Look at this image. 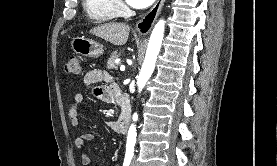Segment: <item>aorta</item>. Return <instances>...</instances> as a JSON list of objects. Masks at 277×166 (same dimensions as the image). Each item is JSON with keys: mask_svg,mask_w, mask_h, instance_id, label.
<instances>
[{"mask_svg": "<svg viewBox=\"0 0 277 166\" xmlns=\"http://www.w3.org/2000/svg\"><path fill=\"white\" fill-rule=\"evenodd\" d=\"M164 27L165 22L163 20H159L155 25L147 47L146 56L142 68L140 70L139 76L137 77V84L139 88V92L144 88L145 84L151 77L154 68L157 56L160 52V48L162 45V40L164 36ZM138 115L134 113L133 121H137ZM136 126L132 124L129 128L128 135H127V150H133L134 145L136 143Z\"/></svg>", "mask_w": 277, "mask_h": 166, "instance_id": "aorta-1", "label": "aorta"}]
</instances>
